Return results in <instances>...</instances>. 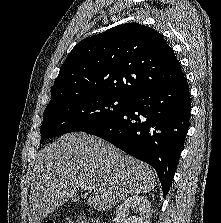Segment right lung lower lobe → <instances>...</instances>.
I'll use <instances>...</instances> for the list:
<instances>
[{
    "instance_id": "right-lung-lower-lobe-1",
    "label": "right lung lower lobe",
    "mask_w": 221,
    "mask_h": 223,
    "mask_svg": "<svg viewBox=\"0 0 221 223\" xmlns=\"http://www.w3.org/2000/svg\"><path fill=\"white\" fill-rule=\"evenodd\" d=\"M190 108L189 86L184 77L172 85L137 95L121 114L85 132L150 164L158 173L166 197L184 146Z\"/></svg>"
}]
</instances>
